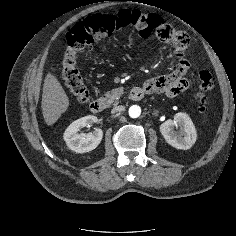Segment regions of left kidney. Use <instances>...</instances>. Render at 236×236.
I'll list each match as a JSON object with an SVG mask.
<instances>
[{
    "mask_svg": "<svg viewBox=\"0 0 236 236\" xmlns=\"http://www.w3.org/2000/svg\"><path fill=\"white\" fill-rule=\"evenodd\" d=\"M179 127V131H175ZM160 132L166 142L176 149H190L196 141V129L186 113H177L173 120L160 125Z\"/></svg>",
    "mask_w": 236,
    "mask_h": 236,
    "instance_id": "obj_1",
    "label": "left kidney"
}]
</instances>
